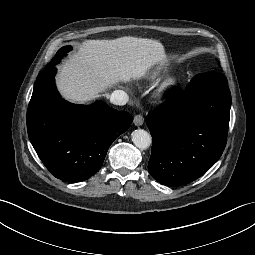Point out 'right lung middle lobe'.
<instances>
[{"mask_svg": "<svg viewBox=\"0 0 255 255\" xmlns=\"http://www.w3.org/2000/svg\"><path fill=\"white\" fill-rule=\"evenodd\" d=\"M71 49H72L71 46H64L61 49H59L54 58L51 60L50 63L47 64L45 68H51L59 64L63 56L66 55Z\"/></svg>", "mask_w": 255, "mask_h": 255, "instance_id": "obj_1", "label": "right lung middle lobe"}]
</instances>
